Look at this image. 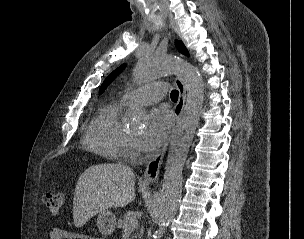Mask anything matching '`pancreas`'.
Here are the masks:
<instances>
[{
  "mask_svg": "<svg viewBox=\"0 0 304 239\" xmlns=\"http://www.w3.org/2000/svg\"><path fill=\"white\" fill-rule=\"evenodd\" d=\"M133 220H137L136 212L129 210L124 214V216L118 219L117 225L119 228L125 229L129 227L131 221ZM141 237H142V232L134 236L135 239H141Z\"/></svg>",
  "mask_w": 304,
  "mask_h": 239,
  "instance_id": "pancreas-1",
  "label": "pancreas"
}]
</instances>
